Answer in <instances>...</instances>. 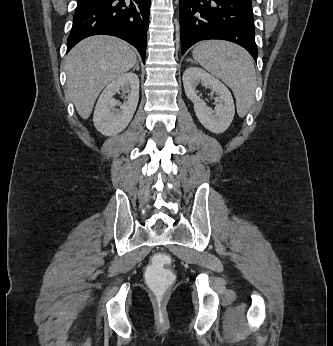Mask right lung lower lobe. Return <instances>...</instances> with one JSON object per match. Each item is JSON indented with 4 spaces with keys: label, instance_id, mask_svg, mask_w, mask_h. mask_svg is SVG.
I'll use <instances>...</instances> for the list:
<instances>
[{
    "label": "right lung lower lobe",
    "instance_id": "98d812e1",
    "mask_svg": "<svg viewBox=\"0 0 333 346\" xmlns=\"http://www.w3.org/2000/svg\"><path fill=\"white\" fill-rule=\"evenodd\" d=\"M150 0H78L67 52L92 35H112L132 44L145 63Z\"/></svg>",
    "mask_w": 333,
    "mask_h": 346
}]
</instances>
